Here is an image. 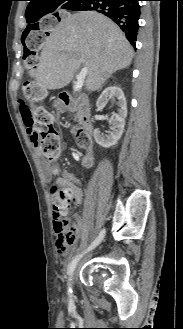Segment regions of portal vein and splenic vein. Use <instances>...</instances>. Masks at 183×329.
<instances>
[{
	"label": "portal vein and splenic vein",
	"instance_id": "18ae733b",
	"mask_svg": "<svg viewBox=\"0 0 183 329\" xmlns=\"http://www.w3.org/2000/svg\"><path fill=\"white\" fill-rule=\"evenodd\" d=\"M87 73H88V69L85 67L81 69V71L76 75L77 81L75 82L74 85V92L78 91L82 87Z\"/></svg>",
	"mask_w": 183,
	"mask_h": 329
}]
</instances>
